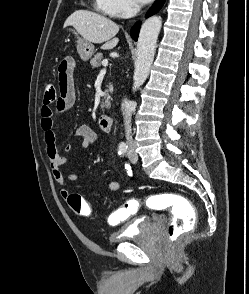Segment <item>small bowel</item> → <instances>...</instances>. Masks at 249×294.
Returning a JSON list of instances; mask_svg holds the SVG:
<instances>
[{
    "label": "small bowel",
    "mask_w": 249,
    "mask_h": 294,
    "mask_svg": "<svg viewBox=\"0 0 249 294\" xmlns=\"http://www.w3.org/2000/svg\"><path fill=\"white\" fill-rule=\"evenodd\" d=\"M71 59V69L65 75L59 72V87L60 97L53 105L43 104L40 109L39 121L40 128L45 137L46 154L50 163V171L53 179L61 187V195L63 198H68L69 191L66 188V180L68 182H75L78 180L77 173H68L66 179L64 172L66 171V163L68 156L63 154L57 143V135L55 132V118L58 114L68 111L75 101V88L72 78V70L74 61ZM73 137H78L82 140L81 146L76 147L69 143L64 146V152L70 153L77 150H85L98 143L96 133L86 124L76 126L72 132ZM107 188L116 192L120 189V184L116 181H110ZM120 210L110 215L108 222L110 225H118L123 219L119 216Z\"/></svg>",
    "instance_id": "small-bowel-1"
}]
</instances>
